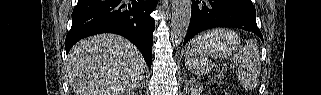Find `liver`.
I'll list each match as a JSON object with an SVG mask.
<instances>
[{"label":"liver","mask_w":321,"mask_h":95,"mask_svg":"<svg viewBox=\"0 0 321 95\" xmlns=\"http://www.w3.org/2000/svg\"><path fill=\"white\" fill-rule=\"evenodd\" d=\"M145 61L128 40L100 34L70 50L66 72L75 95H125L143 79Z\"/></svg>","instance_id":"6515ba94"}]
</instances>
